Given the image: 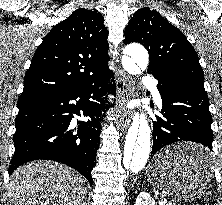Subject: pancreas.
I'll return each instance as SVG.
<instances>
[{
    "label": "pancreas",
    "instance_id": "1",
    "mask_svg": "<svg viewBox=\"0 0 222 205\" xmlns=\"http://www.w3.org/2000/svg\"><path fill=\"white\" fill-rule=\"evenodd\" d=\"M169 205H175L174 203H169Z\"/></svg>",
    "mask_w": 222,
    "mask_h": 205
}]
</instances>
